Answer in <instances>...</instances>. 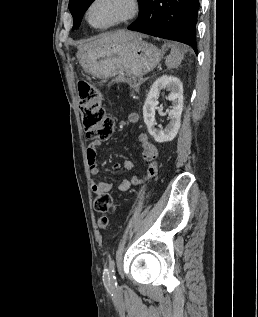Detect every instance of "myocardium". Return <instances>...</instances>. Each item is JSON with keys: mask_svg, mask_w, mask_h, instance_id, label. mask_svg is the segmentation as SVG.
<instances>
[{"mask_svg": "<svg viewBox=\"0 0 258 317\" xmlns=\"http://www.w3.org/2000/svg\"><path fill=\"white\" fill-rule=\"evenodd\" d=\"M97 1H99V0H92L91 3L89 4L87 11H86V20L93 28L99 29V30H107V29H111V28H114L116 26H119L121 24H124V23L130 21L131 19H133L137 15L138 10H139L138 4L134 0H113V1L125 4L127 6L126 14L123 15L121 18H119L111 23L96 24L91 20L90 12H91L92 6Z\"/></svg>", "mask_w": 258, "mask_h": 317, "instance_id": "obj_1", "label": "myocardium"}]
</instances>
